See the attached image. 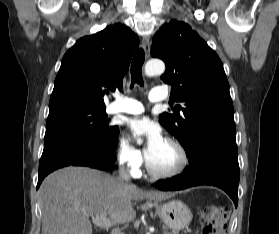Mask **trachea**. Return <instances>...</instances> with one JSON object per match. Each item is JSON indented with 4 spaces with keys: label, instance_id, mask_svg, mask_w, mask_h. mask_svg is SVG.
<instances>
[{
    "label": "trachea",
    "instance_id": "trachea-1",
    "mask_svg": "<svg viewBox=\"0 0 279 234\" xmlns=\"http://www.w3.org/2000/svg\"><path fill=\"white\" fill-rule=\"evenodd\" d=\"M144 60H145L144 51L143 49H139L134 55L131 64V78H132L131 87H133L135 83L140 84V86H143L144 84L142 73H141Z\"/></svg>",
    "mask_w": 279,
    "mask_h": 234
}]
</instances>
